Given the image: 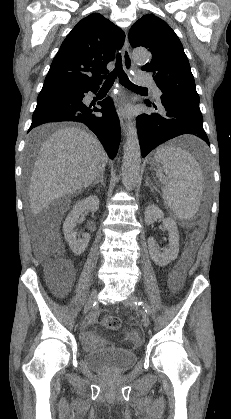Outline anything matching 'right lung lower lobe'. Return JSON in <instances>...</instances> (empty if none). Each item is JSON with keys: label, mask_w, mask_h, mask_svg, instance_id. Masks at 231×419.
<instances>
[{"label": "right lung lower lobe", "mask_w": 231, "mask_h": 419, "mask_svg": "<svg viewBox=\"0 0 231 419\" xmlns=\"http://www.w3.org/2000/svg\"><path fill=\"white\" fill-rule=\"evenodd\" d=\"M98 86L82 87L72 97H54L37 102L28 132L43 123L76 121L85 123L98 137L109 157L116 156L120 144V123L113 102L106 98L98 104L102 109L82 102L84 93L97 92ZM94 112H102L96 116Z\"/></svg>", "instance_id": "right-lung-lower-lobe-1"}]
</instances>
